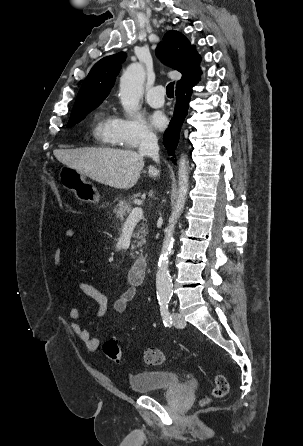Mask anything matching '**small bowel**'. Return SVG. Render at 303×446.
<instances>
[{
	"label": "small bowel",
	"instance_id": "c3829d8e",
	"mask_svg": "<svg viewBox=\"0 0 303 446\" xmlns=\"http://www.w3.org/2000/svg\"><path fill=\"white\" fill-rule=\"evenodd\" d=\"M65 237L68 239H73L76 237L77 232L73 228H68L65 230ZM54 265L59 268L62 264V251L60 248L55 249L53 253ZM78 289L82 294L94 300L98 305V310L95 317L97 319L103 318L108 310V299L106 295L98 289L96 286L80 281L78 283ZM136 295V288L134 286L128 288L115 300L113 304V309L116 313H123L129 302H131ZM69 316L73 320L72 330L79 337V339L85 344L89 351H95L98 348L99 342L88 330H86L80 320V312L77 308L72 307L69 311Z\"/></svg>",
	"mask_w": 303,
	"mask_h": 446
}]
</instances>
